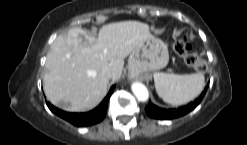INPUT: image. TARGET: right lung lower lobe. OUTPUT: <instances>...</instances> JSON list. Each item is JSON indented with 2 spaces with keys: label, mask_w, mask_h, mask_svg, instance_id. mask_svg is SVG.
Listing matches in <instances>:
<instances>
[{
  "label": "right lung lower lobe",
  "mask_w": 247,
  "mask_h": 145,
  "mask_svg": "<svg viewBox=\"0 0 247 145\" xmlns=\"http://www.w3.org/2000/svg\"><path fill=\"white\" fill-rule=\"evenodd\" d=\"M114 88L115 86L111 87L108 95L98 107L87 113H69L54 107L49 102H47V105L54 114L58 115L59 117L63 118L64 120L70 122L75 126L82 127L93 125L104 119L106 115L108 100Z\"/></svg>",
  "instance_id": "1"
}]
</instances>
